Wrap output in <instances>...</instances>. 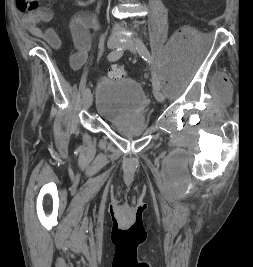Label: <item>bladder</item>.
I'll return each instance as SVG.
<instances>
[{"label":"bladder","instance_id":"obj_1","mask_svg":"<svg viewBox=\"0 0 253 267\" xmlns=\"http://www.w3.org/2000/svg\"><path fill=\"white\" fill-rule=\"evenodd\" d=\"M96 111L108 120L138 117L148 107L141 85L133 79H103L96 90Z\"/></svg>","mask_w":253,"mask_h":267}]
</instances>
